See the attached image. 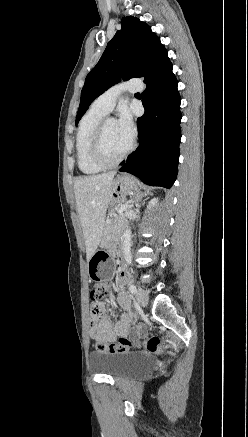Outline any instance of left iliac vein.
I'll return each mask as SVG.
<instances>
[{
	"label": "left iliac vein",
	"mask_w": 248,
	"mask_h": 437,
	"mask_svg": "<svg viewBox=\"0 0 248 437\" xmlns=\"http://www.w3.org/2000/svg\"><path fill=\"white\" fill-rule=\"evenodd\" d=\"M137 301L142 306L145 307L148 304L149 295L146 290L139 288L136 293Z\"/></svg>",
	"instance_id": "left-iliac-vein-1"
}]
</instances>
